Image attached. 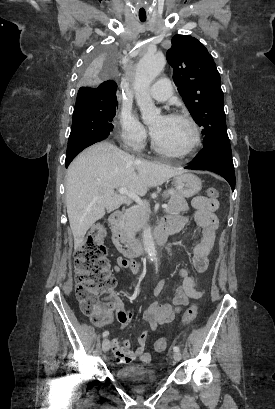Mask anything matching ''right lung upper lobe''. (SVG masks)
I'll list each match as a JSON object with an SVG mask.
<instances>
[{"mask_svg":"<svg viewBox=\"0 0 275 409\" xmlns=\"http://www.w3.org/2000/svg\"><path fill=\"white\" fill-rule=\"evenodd\" d=\"M117 84L113 80L104 81L99 85L98 90H80L78 93H90L99 97L116 96Z\"/></svg>","mask_w":275,"mask_h":409,"instance_id":"right-lung-upper-lobe-1","label":"right lung upper lobe"}]
</instances>
